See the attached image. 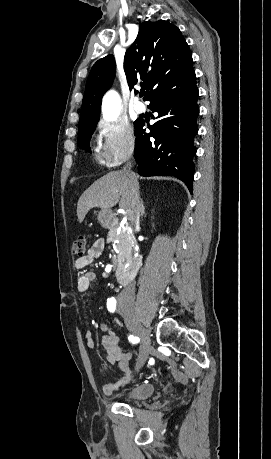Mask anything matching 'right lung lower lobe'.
<instances>
[{
	"mask_svg": "<svg viewBox=\"0 0 271 459\" xmlns=\"http://www.w3.org/2000/svg\"><path fill=\"white\" fill-rule=\"evenodd\" d=\"M198 89L194 70L170 79L148 100V108L158 112V120L145 133V122L135 125L134 157L142 176H174L192 192L196 154L194 138L198 133ZM152 137V139H150Z\"/></svg>",
	"mask_w": 271,
	"mask_h": 459,
	"instance_id": "right-lung-lower-lobe-1",
	"label": "right lung lower lobe"
}]
</instances>
